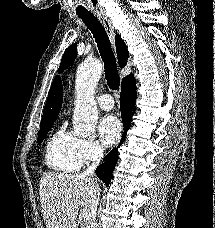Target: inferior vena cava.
<instances>
[{"label": "inferior vena cava", "mask_w": 215, "mask_h": 228, "mask_svg": "<svg viewBox=\"0 0 215 228\" xmlns=\"http://www.w3.org/2000/svg\"><path fill=\"white\" fill-rule=\"evenodd\" d=\"M102 158H103L102 148H99V150H95L92 158H90L91 164L90 166H88L85 172H82V176H94L95 170L97 166H99ZM91 192H92L91 204L89 206L91 216L89 218V222H87V228H97V224H95V220H96V212L98 210V204L100 200V188L97 182H94V186H92Z\"/></svg>", "instance_id": "602c4592"}]
</instances>
